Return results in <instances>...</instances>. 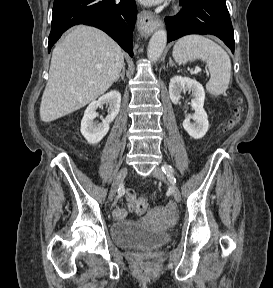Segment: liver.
Instances as JSON below:
<instances>
[{"mask_svg":"<svg viewBox=\"0 0 273 288\" xmlns=\"http://www.w3.org/2000/svg\"><path fill=\"white\" fill-rule=\"evenodd\" d=\"M124 66L121 47L103 31L79 25L55 46L40 118L51 122L103 95Z\"/></svg>","mask_w":273,"mask_h":288,"instance_id":"obj_1","label":"liver"}]
</instances>
